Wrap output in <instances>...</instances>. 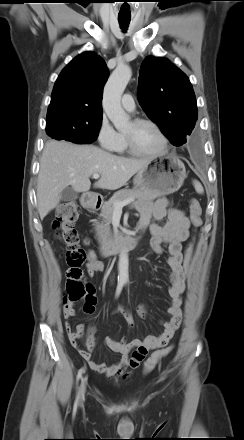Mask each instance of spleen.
Returning <instances> with one entry per match:
<instances>
[{
    "label": "spleen",
    "instance_id": "1",
    "mask_svg": "<svg viewBox=\"0 0 244 440\" xmlns=\"http://www.w3.org/2000/svg\"><path fill=\"white\" fill-rule=\"evenodd\" d=\"M193 186H194L197 193H199V194L204 193L203 186L201 185V183L199 181L193 180Z\"/></svg>",
    "mask_w": 244,
    "mask_h": 440
}]
</instances>
